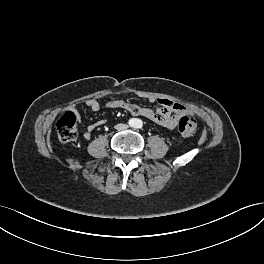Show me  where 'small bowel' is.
<instances>
[{
    "label": "small bowel",
    "mask_w": 264,
    "mask_h": 264,
    "mask_svg": "<svg viewBox=\"0 0 264 264\" xmlns=\"http://www.w3.org/2000/svg\"><path fill=\"white\" fill-rule=\"evenodd\" d=\"M148 100L150 102H155L157 100L160 107L153 110L151 108L138 106L121 100L110 101L107 103V106L111 108H123L131 114L143 116L167 129H174L181 116L191 114L186 106L166 98L156 99L154 97H149ZM86 105L92 112H98L101 108L100 103L96 99L87 100ZM103 123L104 121L101 120L95 124L89 125L84 132V138L89 140L92 132Z\"/></svg>",
    "instance_id": "small-bowel-1"
}]
</instances>
